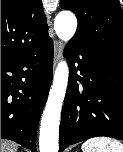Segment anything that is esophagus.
<instances>
[{"label": "esophagus", "instance_id": "esophagus-1", "mask_svg": "<svg viewBox=\"0 0 123 152\" xmlns=\"http://www.w3.org/2000/svg\"><path fill=\"white\" fill-rule=\"evenodd\" d=\"M62 54V43L58 40L54 41V65H56Z\"/></svg>", "mask_w": 123, "mask_h": 152}]
</instances>
